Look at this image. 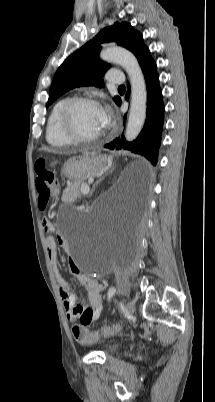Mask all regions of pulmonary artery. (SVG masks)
Instances as JSON below:
<instances>
[{"mask_svg": "<svg viewBox=\"0 0 215 402\" xmlns=\"http://www.w3.org/2000/svg\"><path fill=\"white\" fill-rule=\"evenodd\" d=\"M106 79L112 84H123L125 81L123 74L115 70L109 71L107 73Z\"/></svg>", "mask_w": 215, "mask_h": 402, "instance_id": "e3ab8cb5", "label": "pulmonary artery"}]
</instances>
